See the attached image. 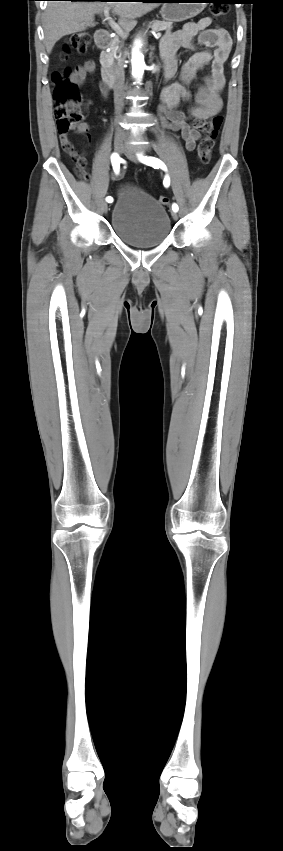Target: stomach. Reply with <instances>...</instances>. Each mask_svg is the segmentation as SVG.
Segmentation results:
<instances>
[{"label":"stomach","mask_w":283,"mask_h":851,"mask_svg":"<svg viewBox=\"0 0 283 851\" xmlns=\"http://www.w3.org/2000/svg\"><path fill=\"white\" fill-rule=\"evenodd\" d=\"M205 0H168L161 8V16L167 22H180L198 15L205 8Z\"/></svg>","instance_id":"stomach-1"}]
</instances>
